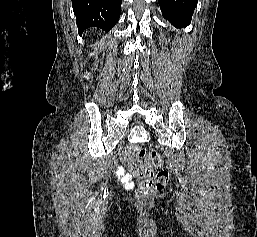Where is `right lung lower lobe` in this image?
<instances>
[{
  "instance_id": "obj_1",
  "label": "right lung lower lobe",
  "mask_w": 257,
  "mask_h": 237,
  "mask_svg": "<svg viewBox=\"0 0 257 237\" xmlns=\"http://www.w3.org/2000/svg\"><path fill=\"white\" fill-rule=\"evenodd\" d=\"M122 0H72L79 33L90 27L108 32L119 20Z\"/></svg>"
}]
</instances>
